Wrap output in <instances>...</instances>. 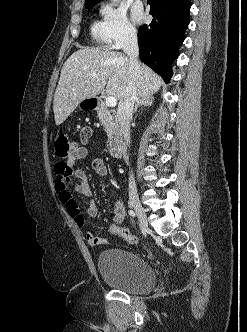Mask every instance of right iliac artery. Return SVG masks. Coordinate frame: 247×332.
<instances>
[{
	"mask_svg": "<svg viewBox=\"0 0 247 332\" xmlns=\"http://www.w3.org/2000/svg\"><path fill=\"white\" fill-rule=\"evenodd\" d=\"M128 213L131 217H133V218L136 217V214L133 210H129Z\"/></svg>",
	"mask_w": 247,
	"mask_h": 332,
	"instance_id": "1",
	"label": "right iliac artery"
}]
</instances>
